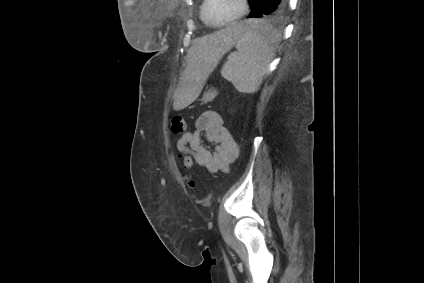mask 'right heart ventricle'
Listing matches in <instances>:
<instances>
[{"mask_svg": "<svg viewBox=\"0 0 424 283\" xmlns=\"http://www.w3.org/2000/svg\"><path fill=\"white\" fill-rule=\"evenodd\" d=\"M203 6H204V1L202 2L201 6H200V15L203 18Z\"/></svg>", "mask_w": 424, "mask_h": 283, "instance_id": "1", "label": "right heart ventricle"}]
</instances>
